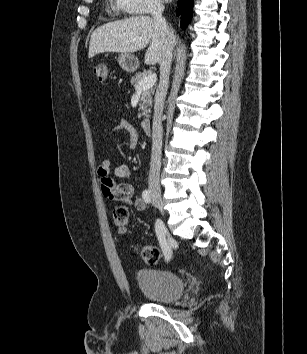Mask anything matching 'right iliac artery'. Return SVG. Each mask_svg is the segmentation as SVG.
Masks as SVG:
<instances>
[{
	"mask_svg": "<svg viewBox=\"0 0 307 354\" xmlns=\"http://www.w3.org/2000/svg\"><path fill=\"white\" fill-rule=\"evenodd\" d=\"M142 197L144 199V201L146 203H150L151 202V196L148 190H144L142 192ZM155 231H156V235L159 241V244L163 250V253L165 255V259L168 261L171 258V248L166 240L165 237V228L164 225L161 221L157 220L156 224H155Z\"/></svg>",
	"mask_w": 307,
	"mask_h": 354,
	"instance_id": "obj_1",
	"label": "right iliac artery"
}]
</instances>
